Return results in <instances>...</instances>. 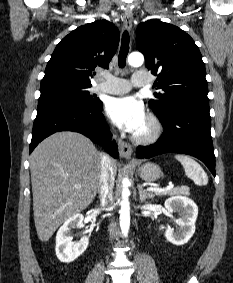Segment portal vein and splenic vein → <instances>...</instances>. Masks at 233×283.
<instances>
[{
    "mask_svg": "<svg viewBox=\"0 0 233 283\" xmlns=\"http://www.w3.org/2000/svg\"><path fill=\"white\" fill-rule=\"evenodd\" d=\"M77 188H80L81 186L80 185H76ZM174 185L173 184H169L167 187L165 188H156V187H151V188H147V191H150V192H166V191H169L171 189H173Z\"/></svg>",
    "mask_w": 233,
    "mask_h": 283,
    "instance_id": "portal-vein-and-splenic-vein-1",
    "label": "portal vein and splenic vein"
}]
</instances>
